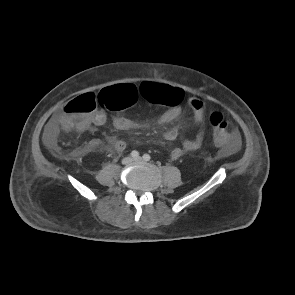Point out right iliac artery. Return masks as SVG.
Wrapping results in <instances>:
<instances>
[{
	"mask_svg": "<svg viewBox=\"0 0 295 295\" xmlns=\"http://www.w3.org/2000/svg\"><path fill=\"white\" fill-rule=\"evenodd\" d=\"M131 156H132L133 158H138V157H139V152L136 151V150H134V151L131 152Z\"/></svg>",
	"mask_w": 295,
	"mask_h": 295,
	"instance_id": "obj_1",
	"label": "right iliac artery"
}]
</instances>
